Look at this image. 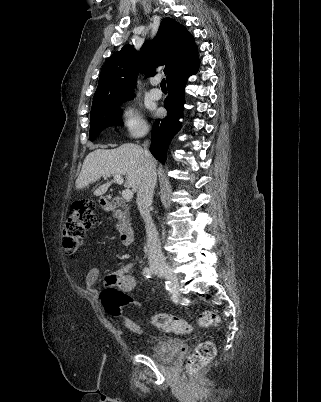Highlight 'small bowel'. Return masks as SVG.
<instances>
[{
	"mask_svg": "<svg viewBox=\"0 0 321 402\" xmlns=\"http://www.w3.org/2000/svg\"><path fill=\"white\" fill-rule=\"evenodd\" d=\"M133 268L132 264L125 265L115 271L106 279L107 285L118 284L123 290L131 291L137 286L135 277L130 273ZM98 277V270H91L86 277L87 285H92L96 282ZM123 326L132 333L142 334V327L136 323L127 313L123 319Z\"/></svg>",
	"mask_w": 321,
	"mask_h": 402,
	"instance_id": "small-bowel-1",
	"label": "small bowel"
}]
</instances>
